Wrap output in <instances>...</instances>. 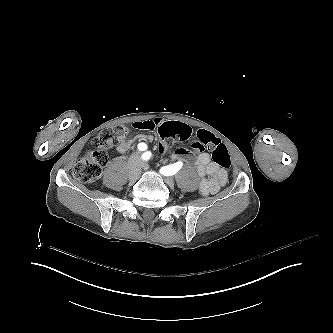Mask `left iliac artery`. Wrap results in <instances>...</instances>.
Masks as SVG:
<instances>
[{
	"label": "left iliac artery",
	"instance_id": "1",
	"mask_svg": "<svg viewBox=\"0 0 333 333\" xmlns=\"http://www.w3.org/2000/svg\"><path fill=\"white\" fill-rule=\"evenodd\" d=\"M151 156L152 155H151L150 152H146V153L143 154V159L148 160V159H150ZM182 165H183L182 162H177L175 164L162 167L160 169V173L165 175V176L174 175L178 170H180Z\"/></svg>",
	"mask_w": 333,
	"mask_h": 333
}]
</instances>
